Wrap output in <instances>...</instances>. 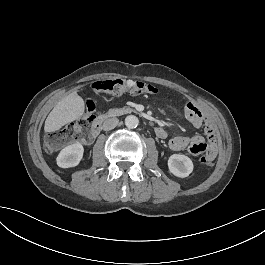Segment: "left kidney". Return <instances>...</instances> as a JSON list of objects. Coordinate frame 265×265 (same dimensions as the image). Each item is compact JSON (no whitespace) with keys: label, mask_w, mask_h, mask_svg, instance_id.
<instances>
[{"label":"left kidney","mask_w":265,"mask_h":265,"mask_svg":"<svg viewBox=\"0 0 265 265\" xmlns=\"http://www.w3.org/2000/svg\"><path fill=\"white\" fill-rule=\"evenodd\" d=\"M167 165L169 172L177 178H187L194 170L192 160L182 153L171 154Z\"/></svg>","instance_id":"5707ae66"}]
</instances>
